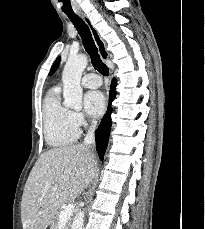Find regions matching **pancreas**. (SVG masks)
<instances>
[{
	"instance_id": "cf45deb5",
	"label": "pancreas",
	"mask_w": 205,
	"mask_h": 229,
	"mask_svg": "<svg viewBox=\"0 0 205 229\" xmlns=\"http://www.w3.org/2000/svg\"><path fill=\"white\" fill-rule=\"evenodd\" d=\"M61 213V210H58L54 216V222L52 223L50 229H58L59 227V215ZM65 229H70V222H67L66 226H65Z\"/></svg>"
}]
</instances>
